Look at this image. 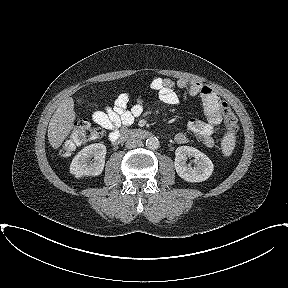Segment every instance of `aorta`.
<instances>
[{
	"label": "aorta",
	"mask_w": 288,
	"mask_h": 288,
	"mask_svg": "<svg viewBox=\"0 0 288 288\" xmlns=\"http://www.w3.org/2000/svg\"><path fill=\"white\" fill-rule=\"evenodd\" d=\"M145 143H146V147L151 150L157 149L160 145L158 138L154 136L147 138Z\"/></svg>",
	"instance_id": "obj_1"
}]
</instances>
